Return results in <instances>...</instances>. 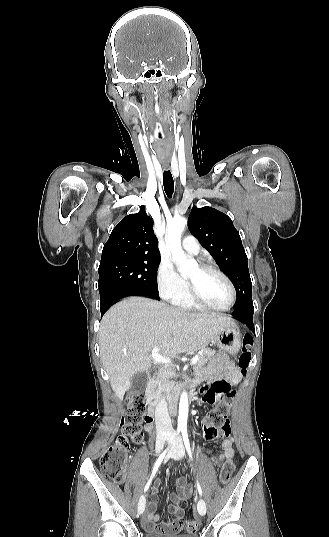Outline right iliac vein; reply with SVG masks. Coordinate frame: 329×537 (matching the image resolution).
<instances>
[{
	"label": "right iliac vein",
	"instance_id": "right-iliac-vein-1",
	"mask_svg": "<svg viewBox=\"0 0 329 537\" xmlns=\"http://www.w3.org/2000/svg\"><path fill=\"white\" fill-rule=\"evenodd\" d=\"M170 440L169 437L167 438H164V437H161L158 442H157V453H159L162 449V446H163V443H164V440ZM145 504H146V499H145V496L142 495L139 499V502H138V507H137V510H138V514H142L145 510Z\"/></svg>",
	"mask_w": 329,
	"mask_h": 537
}]
</instances>
